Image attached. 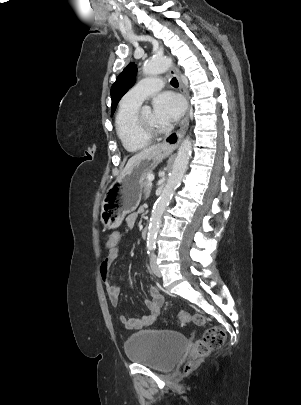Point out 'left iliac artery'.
<instances>
[{"label": "left iliac artery", "mask_w": 301, "mask_h": 405, "mask_svg": "<svg viewBox=\"0 0 301 405\" xmlns=\"http://www.w3.org/2000/svg\"><path fill=\"white\" fill-rule=\"evenodd\" d=\"M152 250H153V247H149L147 253L150 254V252H151Z\"/></svg>", "instance_id": "obj_1"}]
</instances>
